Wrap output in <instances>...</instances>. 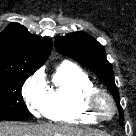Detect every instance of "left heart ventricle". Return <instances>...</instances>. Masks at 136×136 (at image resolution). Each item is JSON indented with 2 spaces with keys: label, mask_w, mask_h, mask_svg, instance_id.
Returning <instances> with one entry per match:
<instances>
[{
  "label": "left heart ventricle",
  "mask_w": 136,
  "mask_h": 136,
  "mask_svg": "<svg viewBox=\"0 0 136 136\" xmlns=\"http://www.w3.org/2000/svg\"><path fill=\"white\" fill-rule=\"evenodd\" d=\"M100 111L104 115H109L112 111L109 102L106 99H102L99 105Z\"/></svg>",
  "instance_id": "1"
}]
</instances>
